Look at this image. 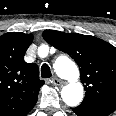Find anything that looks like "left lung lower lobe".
<instances>
[{
  "label": "left lung lower lobe",
  "instance_id": "1",
  "mask_svg": "<svg viewBox=\"0 0 116 116\" xmlns=\"http://www.w3.org/2000/svg\"><path fill=\"white\" fill-rule=\"evenodd\" d=\"M116 108L107 107L102 105H88L80 104L78 107L73 108L72 110L77 116H108Z\"/></svg>",
  "mask_w": 116,
  "mask_h": 116
}]
</instances>
